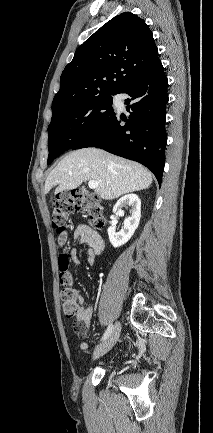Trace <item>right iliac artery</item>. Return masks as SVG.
I'll use <instances>...</instances> for the list:
<instances>
[{
	"label": "right iliac artery",
	"mask_w": 213,
	"mask_h": 433,
	"mask_svg": "<svg viewBox=\"0 0 213 433\" xmlns=\"http://www.w3.org/2000/svg\"><path fill=\"white\" fill-rule=\"evenodd\" d=\"M112 329H113V325L110 324V325L108 326L107 330L105 331V333H104V335H103V337H102V340H106V339L109 337V335H110L111 332H112Z\"/></svg>",
	"instance_id": "right-iliac-artery-1"
}]
</instances>
